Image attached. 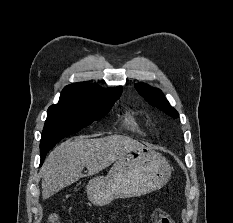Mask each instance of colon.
Segmentation results:
<instances>
[{
	"mask_svg": "<svg viewBox=\"0 0 233 223\" xmlns=\"http://www.w3.org/2000/svg\"><path fill=\"white\" fill-rule=\"evenodd\" d=\"M156 223H174L173 218L164 211L158 210L155 212ZM48 223H60L57 214H52L48 220Z\"/></svg>",
	"mask_w": 233,
	"mask_h": 223,
	"instance_id": "colon-1",
	"label": "colon"
}]
</instances>
